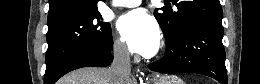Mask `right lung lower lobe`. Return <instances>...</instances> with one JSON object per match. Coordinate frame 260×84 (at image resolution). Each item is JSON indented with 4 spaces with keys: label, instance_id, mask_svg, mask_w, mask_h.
<instances>
[{
    "label": "right lung lower lobe",
    "instance_id": "98d812e1",
    "mask_svg": "<svg viewBox=\"0 0 260 84\" xmlns=\"http://www.w3.org/2000/svg\"><path fill=\"white\" fill-rule=\"evenodd\" d=\"M110 52H102L97 50H83L75 52L62 59L52 70L45 72L44 84H54L66 73L81 67L108 66L113 61V56Z\"/></svg>",
    "mask_w": 260,
    "mask_h": 84
}]
</instances>
